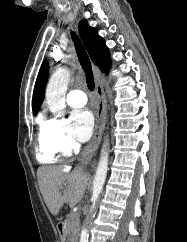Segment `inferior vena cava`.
Returning <instances> with one entry per match:
<instances>
[{
  "mask_svg": "<svg viewBox=\"0 0 187 242\" xmlns=\"http://www.w3.org/2000/svg\"><path fill=\"white\" fill-rule=\"evenodd\" d=\"M79 149H80V144L78 143L74 144V151L76 154L79 152Z\"/></svg>",
  "mask_w": 187,
  "mask_h": 242,
  "instance_id": "inferior-vena-cava-1",
  "label": "inferior vena cava"
}]
</instances>
